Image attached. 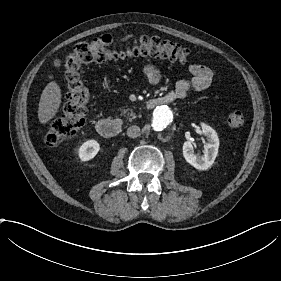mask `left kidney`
Masks as SVG:
<instances>
[{"label":"left kidney","instance_id":"left-kidney-1","mask_svg":"<svg viewBox=\"0 0 281 281\" xmlns=\"http://www.w3.org/2000/svg\"><path fill=\"white\" fill-rule=\"evenodd\" d=\"M202 133L207 138V143L204 144V154L202 156L194 153L193 144L191 141H186L183 144V156L185 160L198 170H207L212 166L214 160L218 154L219 138L216 131L201 123Z\"/></svg>","mask_w":281,"mask_h":281}]
</instances>
